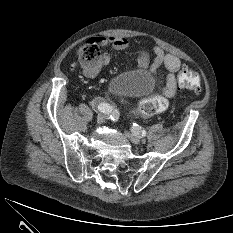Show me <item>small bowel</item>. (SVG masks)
Wrapping results in <instances>:
<instances>
[{"instance_id":"c3829d8e","label":"small bowel","mask_w":233,"mask_h":233,"mask_svg":"<svg viewBox=\"0 0 233 233\" xmlns=\"http://www.w3.org/2000/svg\"><path fill=\"white\" fill-rule=\"evenodd\" d=\"M97 41L103 47H110L112 49L121 50L127 47L128 42L125 38L122 37H101ZM155 53V59L151 66V69L154 70L160 65H164L167 71L166 82L164 86V96L167 98H172L175 96L177 91V80L179 73L181 71L182 65L175 55L170 53H165L160 47L156 46L153 48ZM109 61V56L107 53H104L103 58L96 64L88 66L84 70V74L89 78L96 77L101 69L106 66ZM148 63V50L146 48H141L139 50V67L145 68Z\"/></svg>"}]
</instances>
